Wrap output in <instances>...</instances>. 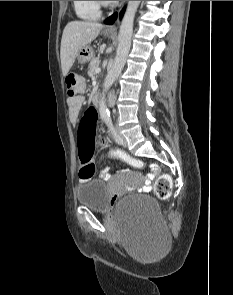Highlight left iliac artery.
Segmentation results:
<instances>
[{
	"label": "left iliac artery",
	"instance_id": "44dca946",
	"mask_svg": "<svg viewBox=\"0 0 233 295\" xmlns=\"http://www.w3.org/2000/svg\"><path fill=\"white\" fill-rule=\"evenodd\" d=\"M105 122L108 125V127L110 128V130H111V132H112V134L114 136L115 141L118 144H120V142H121L120 137H119V135L117 134V132L113 128V125H112V122H111V118L110 117L105 118Z\"/></svg>",
	"mask_w": 233,
	"mask_h": 295
}]
</instances>
